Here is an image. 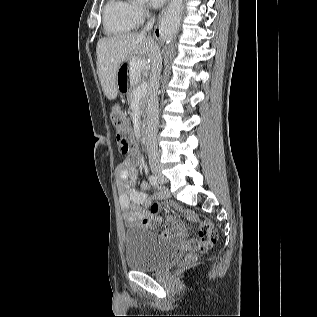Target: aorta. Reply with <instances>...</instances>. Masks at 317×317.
Returning a JSON list of instances; mask_svg holds the SVG:
<instances>
[{
    "label": "aorta",
    "instance_id": "1",
    "mask_svg": "<svg viewBox=\"0 0 317 317\" xmlns=\"http://www.w3.org/2000/svg\"><path fill=\"white\" fill-rule=\"evenodd\" d=\"M136 2H143L144 0H133ZM178 26V19L176 16H172L171 13H168L162 20L160 30L161 33L165 35H171L175 32Z\"/></svg>",
    "mask_w": 317,
    "mask_h": 317
}]
</instances>
